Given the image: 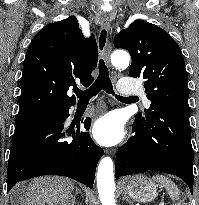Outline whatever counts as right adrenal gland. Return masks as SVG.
<instances>
[{"mask_svg":"<svg viewBox=\"0 0 199 205\" xmlns=\"http://www.w3.org/2000/svg\"><path fill=\"white\" fill-rule=\"evenodd\" d=\"M78 193H81V191H80V189L76 188L75 195H77ZM73 205H76V198H75V196L73 197Z\"/></svg>","mask_w":199,"mask_h":205,"instance_id":"obj_1","label":"right adrenal gland"}]
</instances>
